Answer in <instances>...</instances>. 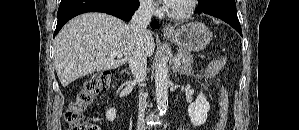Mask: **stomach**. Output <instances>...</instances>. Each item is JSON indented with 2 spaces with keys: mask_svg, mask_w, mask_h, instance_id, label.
Masks as SVG:
<instances>
[{
  "mask_svg": "<svg viewBox=\"0 0 299 130\" xmlns=\"http://www.w3.org/2000/svg\"><path fill=\"white\" fill-rule=\"evenodd\" d=\"M166 38L189 51L198 52L205 49L212 39V33L201 22L185 24L167 34Z\"/></svg>",
  "mask_w": 299,
  "mask_h": 130,
  "instance_id": "1",
  "label": "stomach"
}]
</instances>
